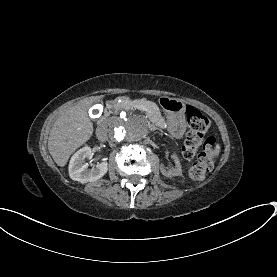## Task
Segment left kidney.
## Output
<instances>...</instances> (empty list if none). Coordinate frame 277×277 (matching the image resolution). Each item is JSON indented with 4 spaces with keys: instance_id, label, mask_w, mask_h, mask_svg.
<instances>
[{
    "instance_id": "obj_1",
    "label": "left kidney",
    "mask_w": 277,
    "mask_h": 277,
    "mask_svg": "<svg viewBox=\"0 0 277 277\" xmlns=\"http://www.w3.org/2000/svg\"><path fill=\"white\" fill-rule=\"evenodd\" d=\"M173 158L175 159V164H176L174 169L166 170L163 165L160 166V170L162 174L169 178L182 175V168H181L179 159L176 156H174Z\"/></svg>"
}]
</instances>
